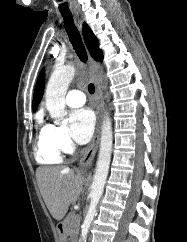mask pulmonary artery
<instances>
[{
    "mask_svg": "<svg viewBox=\"0 0 187 242\" xmlns=\"http://www.w3.org/2000/svg\"><path fill=\"white\" fill-rule=\"evenodd\" d=\"M66 103L70 107H79L85 103V96L80 90H70L66 94Z\"/></svg>",
    "mask_w": 187,
    "mask_h": 242,
    "instance_id": "1",
    "label": "pulmonary artery"
}]
</instances>
